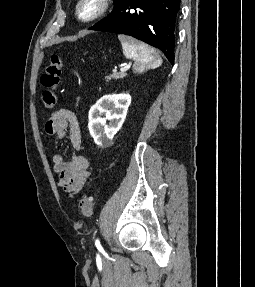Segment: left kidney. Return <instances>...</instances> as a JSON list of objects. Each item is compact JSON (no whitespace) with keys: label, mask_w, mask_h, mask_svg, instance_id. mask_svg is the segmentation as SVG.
Masks as SVG:
<instances>
[{"label":"left kidney","mask_w":255,"mask_h":287,"mask_svg":"<svg viewBox=\"0 0 255 287\" xmlns=\"http://www.w3.org/2000/svg\"><path fill=\"white\" fill-rule=\"evenodd\" d=\"M131 104L130 94H109L100 98L89 110V132L98 145L110 144L120 130ZM105 116V118H101ZM109 120V124H106Z\"/></svg>","instance_id":"5707ae66"}]
</instances>
